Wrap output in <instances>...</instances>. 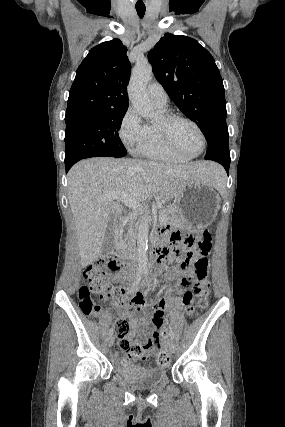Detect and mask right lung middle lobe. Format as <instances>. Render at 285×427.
Segmentation results:
<instances>
[{
	"label": "right lung middle lobe",
	"mask_w": 285,
	"mask_h": 427,
	"mask_svg": "<svg viewBox=\"0 0 285 427\" xmlns=\"http://www.w3.org/2000/svg\"><path fill=\"white\" fill-rule=\"evenodd\" d=\"M127 110H108L65 120V167L98 156L123 157L118 131Z\"/></svg>",
	"instance_id": "dd1d6c3e"
}]
</instances>
